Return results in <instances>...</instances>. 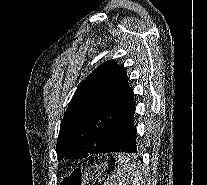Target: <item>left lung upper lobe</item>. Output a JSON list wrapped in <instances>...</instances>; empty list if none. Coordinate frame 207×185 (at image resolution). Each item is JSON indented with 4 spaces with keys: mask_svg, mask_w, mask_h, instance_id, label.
I'll return each instance as SVG.
<instances>
[{
    "mask_svg": "<svg viewBox=\"0 0 207 185\" xmlns=\"http://www.w3.org/2000/svg\"><path fill=\"white\" fill-rule=\"evenodd\" d=\"M134 106L124 68L109 60L75 91L61 121L58 159H82L101 153L111 132Z\"/></svg>",
    "mask_w": 207,
    "mask_h": 185,
    "instance_id": "left-lung-upper-lobe-1",
    "label": "left lung upper lobe"
}]
</instances>
